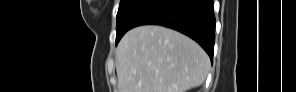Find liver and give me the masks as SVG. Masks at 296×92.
<instances>
[{
	"label": "liver",
	"mask_w": 296,
	"mask_h": 92,
	"mask_svg": "<svg viewBox=\"0 0 296 92\" xmlns=\"http://www.w3.org/2000/svg\"><path fill=\"white\" fill-rule=\"evenodd\" d=\"M119 92H186L210 69L206 52L189 37L162 26L128 31L116 49Z\"/></svg>",
	"instance_id": "1"
}]
</instances>
